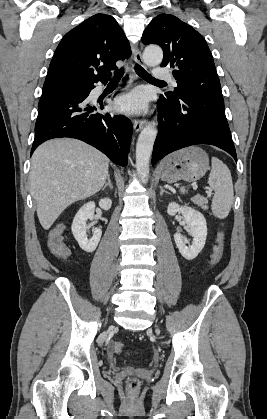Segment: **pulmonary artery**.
Returning <instances> with one entry per match:
<instances>
[{
	"label": "pulmonary artery",
	"instance_id": "obj_1",
	"mask_svg": "<svg viewBox=\"0 0 267 419\" xmlns=\"http://www.w3.org/2000/svg\"><path fill=\"white\" fill-rule=\"evenodd\" d=\"M153 74H154L155 79L167 80V81H170L173 86H177L176 80L166 70L155 69Z\"/></svg>",
	"mask_w": 267,
	"mask_h": 419
}]
</instances>
